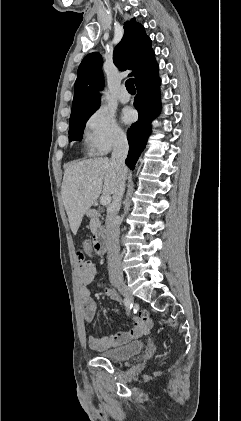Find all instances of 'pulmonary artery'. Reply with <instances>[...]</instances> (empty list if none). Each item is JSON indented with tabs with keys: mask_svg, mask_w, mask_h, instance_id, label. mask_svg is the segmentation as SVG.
<instances>
[{
	"mask_svg": "<svg viewBox=\"0 0 241 421\" xmlns=\"http://www.w3.org/2000/svg\"><path fill=\"white\" fill-rule=\"evenodd\" d=\"M118 100L122 103H127L130 101V95L124 88L119 92Z\"/></svg>",
	"mask_w": 241,
	"mask_h": 421,
	"instance_id": "1",
	"label": "pulmonary artery"
}]
</instances>
